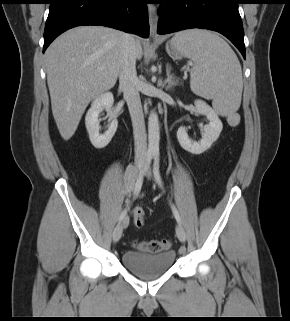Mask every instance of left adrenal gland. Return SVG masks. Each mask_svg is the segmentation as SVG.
Here are the masks:
<instances>
[{"label": "left adrenal gland", "instance_id": "1", "mask_svg": "<svg viewBox=\"0 0 290 321\" xmlns=\"http://www.w3.org/2000/svg\"><path fill=\"white\" fill-rule=\"evenodd\" d=\"M166 75L167 78L165 79V89L166 91L170 90L172 87H175L179 84V82L176 80V78L171 75V66L169 63L166 65Z\"/></svg>", "mask_w": 290, "mask_h": 321}]
</instances>
